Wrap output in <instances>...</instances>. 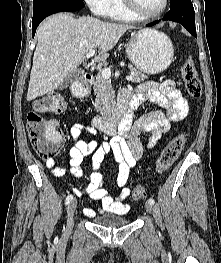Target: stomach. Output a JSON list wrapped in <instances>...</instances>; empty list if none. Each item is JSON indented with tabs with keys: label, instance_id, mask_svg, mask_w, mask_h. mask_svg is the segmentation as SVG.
Returning <instances> with one entry per match:
<instances>
[{
	"label": "stomach",
	"instance_id": "1",
	"mask_svg": "<svg viewBox=\"0 0 221 263\" xmlns=\"http://www.w3.org/2000/svg\"><path fill=\"white\" fill-rule=\"evenodd\" d=\"M126 52L137 69L147 74H158L171 64L174 48L164 33L145 29L131 35Z\"/></svg>",
	"mask_w": 221,
	"mask_h": 263
}]
</instances>
